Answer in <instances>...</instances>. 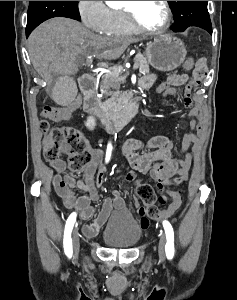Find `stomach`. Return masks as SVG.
I'll return each instance as SVG.
<instances>
[{
    "instance_id": "stomach-1",
    "label": "stomach",
    "mask_w": 237,
    "mask_h": 300,
    "mask_svg": "<svg viewBox=\"0 0 237 300\" xmlns=\"http://www.w3.org/2000/svg\"><path fill=\"white\" fill-rule=\"evenodd\" d=\"M148 63L158 71H174L187 55L183 41L173 35H160L146 47Z\"/></svg>"
}]
</instances>
